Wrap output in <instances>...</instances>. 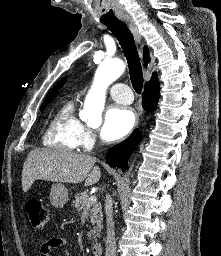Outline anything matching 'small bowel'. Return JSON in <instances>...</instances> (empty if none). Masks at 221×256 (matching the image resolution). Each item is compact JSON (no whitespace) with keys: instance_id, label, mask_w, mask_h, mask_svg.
<instances>
[{"instance_id":"1","label":"small bowel","mask_w":221,"mask_h":256,"mask_svg":"<svg viewBox=\"0 0 221 256\" xmlns=\"http://www.w3.org/2000/svg\"><path fill=\"white\" fill-rule=\"evenodd\" d=\"M67 240L64 238H51L44 241L40 248V256H51L53 251L59 250L63 256H68L66 252Z\"/></svg>"}]
</instances>
